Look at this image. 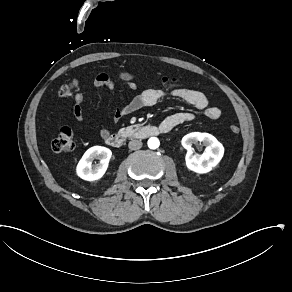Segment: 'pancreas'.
<instances>
[{"label": "pancreas", "instance_id": "pancreas-1", "mask_svg": "<svg viewBox=\"0 0 292 292\" xmlns=\"http://www.w3.org/2000/svg\"><path fill=\"white\" fill-rule=\"evenodd\" d=\"M138 128H139V125H133L126 128H121L119 130V134L123 137H128V136H131L134 133V131Z\"/></svg>", "mask_w": 292, "mask_h": 292}]
</instances>
